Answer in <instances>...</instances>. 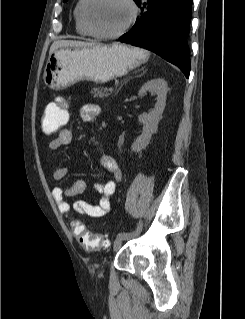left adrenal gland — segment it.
Masks as SVG:
<instances>
[{"label": "left adrenal gland", "mask_w": 245, "mask_h": 319, "mask_svg": "<svg viewBox=\"0 0 245 319\" xmlns=\"http://www.w3.org/2000/svg\"><path fill=\"white\" fill-rule=\"evenodd\" d=\"M145 72H146V70H145V69H143V73H145ZM143 73H142V74H143Z\"/></svg>", "instance_id": "a2214340"}]
</instances>
